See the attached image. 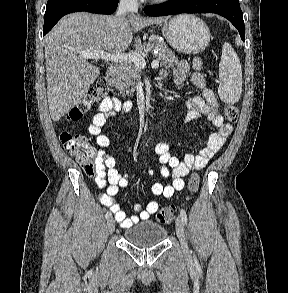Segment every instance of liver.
Listing matches in <instances>:
<instances>
[{
	"instance_id": "1",
	"label": "liver",
	"mask_w": 288,
	"mask_h": 293,
	"mask_svg": "<svg viewBox=\"0 0 288 293\" xmlns=\"http://www.w3.org/2000/svg\"><path fill=\"white\" fill-rule=\"evenodd\" d=\"M168 17L143 18L135 13L121 17L87 12L63 17L45 37L47 98L53 121H59L86 95L99 77L98 67L82 52L122 53L134 33Z\"/></svg>"
}]
</instances>
